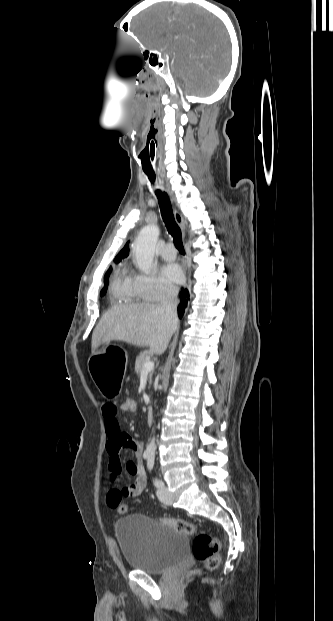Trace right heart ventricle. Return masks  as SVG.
I'll use <instances>...</instances> for the list:
<instances>
[{
	"label": "right heart ventricle",
	"instance_id": "e07e8e85",
	"mask_svg": "<svg viewBox=\"0 0 333 621\" xmlns=\"http://www.w3.org/2000/svg\"><path fill=\"white\" fill-rule=\"evenodd\" d=\"M110 295L118 302L134 303L142 300L134 287L133 276L127 267L122 266L115 272L110 286Z\"/></svg>",
	"mask_w": 333,
	"mask_h": 621
}]
</instances>
